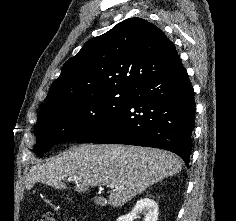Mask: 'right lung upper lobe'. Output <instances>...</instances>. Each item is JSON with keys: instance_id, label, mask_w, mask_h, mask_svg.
Returning a JSON list of instances; mask_svg holds the SVG:
<instances>
[{"instance_id": "obj_1", "label": "right lung upper lobe", "mask_w": 236, "mask_h": 221, "mask_svg": "<svg viewBox=\"0 0 236 221\" xmlns=\"http://www.w3.org/2000/svg\"><path fill=\"white\" fill-rule=\"evenodd\" d=\"M178 57L161 29L142 18L126 19L87 41L65 62L41 108L101 92L132 90Z\"/></svg>"}]
</instances>
